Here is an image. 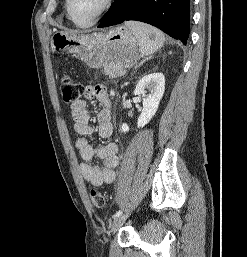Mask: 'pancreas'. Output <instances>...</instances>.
<instances>
[{"label": "pancreas", "mask_w": 247, "mask_h": 257, "mask_svg": "<svg viewBox=\"0 0 247 257\" xmlns=\"http://www.w3.org/2000/svg\"><path fill=\"white\" fill-rule=\"evenodd\" d=\"M126 72L125 67L119 63H109L104 67L103 74L108 75L109 78L114 79L122 76Z\"/></svg>", "instance_id": "pancreas-1"}]
</instances>
